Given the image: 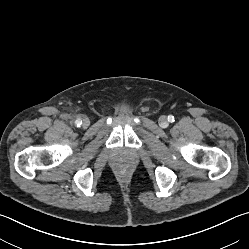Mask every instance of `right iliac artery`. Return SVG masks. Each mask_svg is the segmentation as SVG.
Listing matches in <instances>:
<instances>
[{"label":"right iliac artery","instance_id":"1","mask_svg":"<svg viewBox=\"0 0 249 249\" xmlns=\"http://www.w3.org/2000/svg\"><path fill=\"white\" fill-rule=\"evenodd\" d=\"M81 124H82V121H81L80 119H77V120L75 121V125H76L77 127H80Z\"/></svg>","mask_w":249,"mask_h":249}]
</instances>
